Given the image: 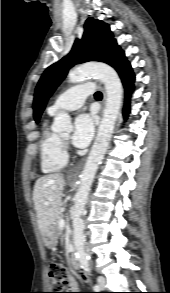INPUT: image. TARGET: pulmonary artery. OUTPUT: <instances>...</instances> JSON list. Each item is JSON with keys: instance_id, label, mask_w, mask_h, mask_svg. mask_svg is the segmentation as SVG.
Listing matches in <instances>:
<instances>
[{"instance_id": "pulmonary-artery-1", "label": "pulmonary artery", "mask_w": 170, "mask_h": 293, "mask_svg": "<svg viewBox=\"0 0 170 293\" xmlns=\"http://www.w3.org/2000/svg\"><path fill=\"white\" fill-rule=\"evenodd\" d=\"M94 91L93 84L82 83L61 93L48 108L49 114H55L61 109L76 110L80 108L88 95Z\"/></svg>"}]
</instances>
